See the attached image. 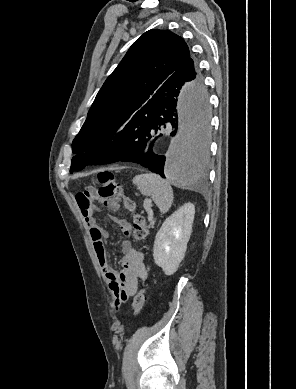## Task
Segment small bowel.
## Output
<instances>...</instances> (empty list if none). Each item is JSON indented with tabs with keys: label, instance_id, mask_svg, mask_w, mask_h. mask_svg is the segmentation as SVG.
Instances as JSON below:
<instances>
[{
	"label": "small bowel",
	"instance_id": "small-bowel-1",
	"mask_svg": "<svg viewBox=\"0 0 296 389\" xmlns=\"http://www.w3.org/2000/svg\"><path fill=\"white\" fill-rule=\"evenodd\" d=\"M97 200L99 199L93 189L79 193L76 197L81 216L89 229L100 268L113 295L115 305L119 306L135 295L139 281L146 280L148 273L143 253L135 249L129 240L122 241L120 245L122 253L120 258L121 271L118 272L110 266L105 251V240L108 234L96 224L94 218L93 203ZM109 207L112 210L118 209V206ZM111 220L118 224L124 237H130L131 225L128 221L116 217H111Z\"/></svg>",
	"mask_w": 296,
	"mask_h": 389
}]
</instances>
